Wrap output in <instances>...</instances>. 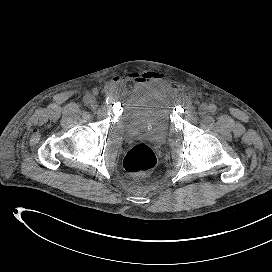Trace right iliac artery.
Segmentation results:
<instances>
[{
    "instance_id": "1",
    "label": "right iliac artery",
    "mask_w": 272,
    "mask_h": 272,
    "mask_svg": "<svg viewBox=\"0 0 272 272\" xmlns=\"http://www.w3.org/2000/svg\"><path fill=\"white\" fill-rule=\"evenodd\" d=\"M83 101L86 105H88L90 103V96L88 95L84 96Z\"/></svg>"
}]
</instances>
